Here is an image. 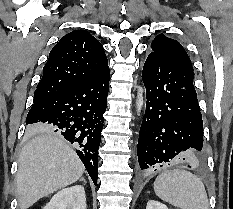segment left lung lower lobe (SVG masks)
<instances>
[{
  "mask_svg": "<svg viewBox=\"0 0 233 209\" xmlns=\"http://www.w3.org/2000/svg\"><path fill=\"white\" fill-rule=\"evenodd\" d=\"M146 114L137 155L141 170L202 161L203 121L189 67L150 53L143 67Z\"/></svg>",
  "mask_w": 233,
  "mask_h": 209,
  "instance_id": "obj_1",
  "label": "left lung lower lobe"
}]
</instances>
